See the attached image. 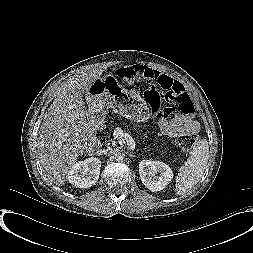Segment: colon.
I'll list each match as a JSON object with an SVG mask.
<instances>
[{
	"instance_id": "5ec220e1",
	"label": "colon",
	"mask_w": 253,
	"mask_h": 253,
	"mask_svg": "<svg viewBox=\"0 0 253 253\" xmlns=\"http://www.w3.org/2000/svg\"><path fill=\"white\" fill-rule=\"evenodd\" d=\"M116 75L133 89L147 86L146 101L151 112L160 118L167 119L176 111L189 115L194 110L192 100L182 86H170L156 75L150 77L148 69L141 65L121 67ZM197 139L194 133L181 134L177 140L178 147L182 152H187L195 145Z\"/></svg>"
}]
</instances>
